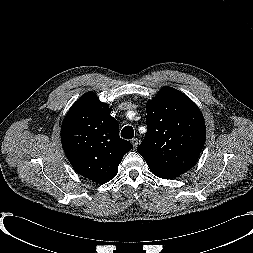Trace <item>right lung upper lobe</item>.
Wrapping results in <instances>:
<instances>
[{"instance_id": "right-lung-upper-lobe-1", "label": "right lung upper lobe", "mask_w": 253, "mask_h": 253, "mask_svg": "<svg viewBox=\"0 0 253 253\" xmlns=\"http://www.w3.org/2000/svg\"><path fill=\"white\" fill-rule=\"evenodd\" d=\"M61 142L72 167L80 175L104 184L118 173L123 156L133 147L119 136L109 106L88 92L68 111L61 127Z\"/></svg>"}]
</instances>
